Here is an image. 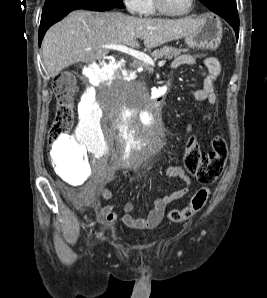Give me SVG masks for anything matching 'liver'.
Listing matches in <instances>:
<instances>
[{"label": "liver", "mask_w": 267, "mask_h": 298, "mask_svg": "<svg viewBox=\"0 0 267 298\" xmlns=\"http://www.w3.org/2000/svg\"><path fill=\"white\" fill-rule=\"evenodd\" d=\"M201 19L137 18L119 12L76 10L53 25L43 39V61L50 77L79 62H93L105 57L108 44L139 47L143 39L147 48H154L195 33Z\"/></svg>", "instance_id": "obj_1"}]
</instances>
